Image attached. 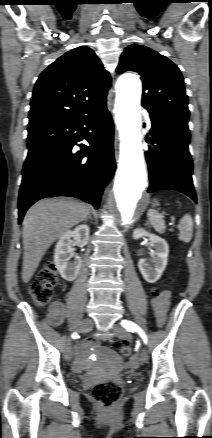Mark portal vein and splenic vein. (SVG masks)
I'll return each mask as SVG.
<instances>
[{"instance_id": "1", "label": "portal vein and splenic vein", "mask_w": 212, "mask_h": 438, "mask_svg": "<svg viewBox=\"0 0 212 438\" xmlns=\"http://www.w3.org/2000/svg\"><path fill=\"white\" fill-rule=\"evenodd\" d=\"M174 221H175V218H171V221L169 222V225H171V226H173L174 225Z\"/></svg>"}]
</instances>
